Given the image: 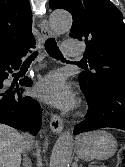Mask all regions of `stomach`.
<instances>
[{
    "label": "stomach",
    "mask_w": 125,
    "mask_h": 167,
    "mask_svg": "<svg viewBox=\"0 0 125 167\" xmlns=\"http://www.w3.org/2000/svg\"><path fill=\"white\" fill-rule=\"evenodd\" d=\"M75 149L82 160H106L115 154L117 141L110 133L98 130L79 136Z\"/></svg>",
    "instance_id": "0dacf381"
}]
</instances>
